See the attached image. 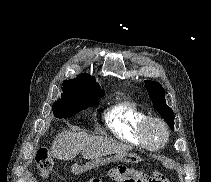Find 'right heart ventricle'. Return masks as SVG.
Returning <instances> with one entry per match:
<instances>
[{
    "instance_id": "right-heart-ventricle-1",
    "label": "right heart ventricle",
    "mask_w": 211,
    "mask_h": 182,
    "mask_svg": "<svg viewBox=\"0 0 211 182\" xmlns=\"http://www.w3.org/2000/svg\"><path fill=\"white\" fill-rule=\"evenodd\" d=\"M146 116L147 114L135 102L121 100L105 112L104 119L117 138L134 146H143L138 129Z\"/></svg>"
}]
</instances>
